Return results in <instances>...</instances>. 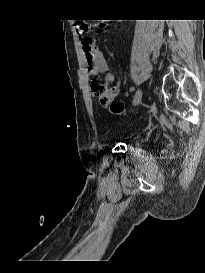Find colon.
I'll return each instance as SVG.
<instances>
[{
    "label": "colon",
    "mask_w": 205,
    "mask_h": 273,
    "mask_svg": "<svg viewBox=\"0 0 205 273\" xmlns=\"http://www.w3.org/2000/svg\"><path fill=\"white\" fill-rule=\"evenodd\" d=\"M76 31L81 34H87L90 31V24L85 21H75ZM91 89L93 93L98 97L99 101L104 104H110V112L114 115H121L125 112V105L122 102H112L116 91L115 89L109 87L107 84L94 80L91 82Z\"/></svg>",
    "instance_id": "1"
}]
</instances>
